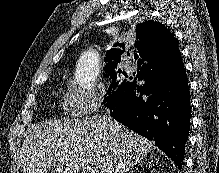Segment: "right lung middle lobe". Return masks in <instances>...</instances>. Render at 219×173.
<instances>
[{
    "instance_id": "1",
    "label": "right lung middle lobe",
    "mask_w": 219,
    "mask_h": 173,
    "mask_svg": "<svg viewBox=\"0 0 219 173\" xmlns=\"http://www.w3.org/2000/svg\"><path fill=\"white\" fill-rule=\"evenodd\" d=\"M108 73L110 74L112 81L110 84V87L107 91L105 100L107 101V105L118 95L120 94L124 88L127 86L128 82L125 77H127V74L119 69H107Z\"/></svg>"
}]
</instances>
